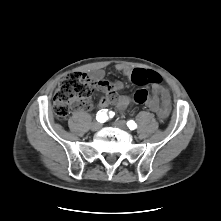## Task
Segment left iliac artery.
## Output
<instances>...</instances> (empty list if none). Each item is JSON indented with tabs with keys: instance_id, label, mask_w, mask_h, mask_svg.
Returning <instances> with one entry per match:
<instances>
[{
	"instance_id": "obj_1",
	"label": "left iliac artery",
	"mask_w": 221,
	"mask_h": 221,
	"mask_svg": "<svg viewBox=\"0 0 221 221\" xmlns=\"http://www.w3.org/2000/svg\"><path fill=\"white\" fill-rule=\"evenodd\" d=\"M127 126L129 127L130 130H134L137 128V124L133 120H129L127 122Z\"/></svg>"
}]
</instances>
